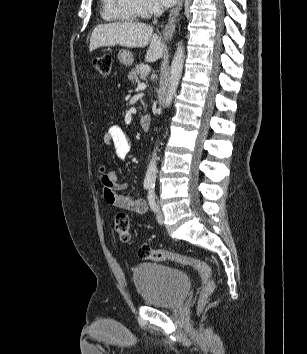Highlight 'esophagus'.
Segmentation results:
<instances>
[{
	"instance_id": "obj_1",
	"label": "esophagus",
	"mask_w": 307,
	"mask_h": 354,
	"mask_svg": "<svg viewBox=\"0 0 307 354\" xmlns=\"http://www.w3.org/2000/svg\"><path fill=\"white\" fill-rule=\"evenodd\" d=\"M183 2L184 0H179L178 4L171 10L169 14L168 22L162 31V35L165 39L171 38L174 33L176 19L179 15L180 10L182 9Z\"/></svg>"
}]
</instances>
